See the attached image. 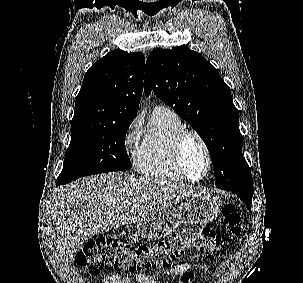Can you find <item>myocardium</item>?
Listing matches in <instances>:
<instances>
[{
    "label": "myocardium",
    "mask_w": 303,
    "mask_h": 283,
    "mask_svg": "<svg viewBox=\"0 0 303 283\" xmlns=\"http://www.w3.org/2000/svg\"><path fill=\"white\" fill-rule=\"evenodd\" d=\"M190 137H193L198 140V142L201 144L202 148L204 149V152L206 154L207 158V168L203 176L200 178L194 179L189 176L187 173L184 163H183V148L186 140ZM172 154H173V160L175 163L176 168L180 172V174L189 182L198 183L203 181L210 173L213 165V159H212V153L211 150L206 142V140L203 138L201 134H199L197 131L184 128L181 130L177 136L175 137L173 141L172 146Z\"/></svg>",
    "instance_id": "myocardium-1"
}]
</instances>
